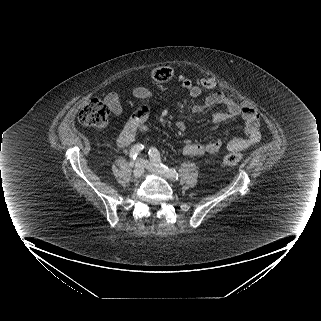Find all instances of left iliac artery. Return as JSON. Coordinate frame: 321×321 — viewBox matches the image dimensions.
Listing matches in <instances>:
<instances>
[{
  "instance_id": "obj_1",
  "label": "left iliac artery",
  "mask_w": 321,
  "mask_h": 321,
  "mask_svg": "<svg viewBox=\"0 0 321 321\" xmlns=\"http://www.w3.org/2000/svg\"><path fill=\"white\" fill-rule=\"evenodd\" d=\"M149 157L152 161L153 165L157 168V170L163 172L168 178L172 180H177L179 175L174 169H170L161 162L160 154L158 150L154 147L149 149Z\"/></svg>"
}]
</instances>
